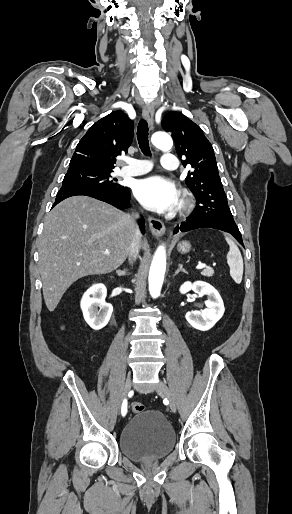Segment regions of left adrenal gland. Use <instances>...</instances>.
<instances>
[{
    "instance_id": "obj_1",
    "label": "left adrenal gland",
    "mask_w": 292,
    "mask_h": 514,
    "mask_svg": "<svg viewBox=\"0 0 292 514\" xmlns=\"http://www.w3.org/2000/svg\"><path fill=\"white\" fill-rule=\"evenodd\" d=\"M179 272H184V274H188V272H186V270H184L183 264H178V268L175 272V276H176V274H179Z\"/></svg>"
}]
</instances>
